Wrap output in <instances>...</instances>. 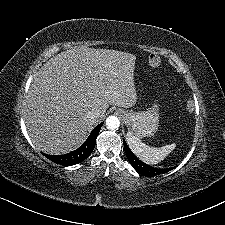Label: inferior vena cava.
Segmentation results:
<instances>
[{
  "label": "inferior vena cava",
  "mask_w": 225,
  "mask_h": 225,
  "mask_svg": "<svg viewBox=\"0 0 225 225\" xmlns=\"http://www.w3.org/2000/svg\"><path fill=\"white\" fill-rule=\"evenodd\" d=\"M99 111L98 110H91V111H88L87 115L88 117L90 118H96L99 116Z\"/></svg>",
  "instance_id": "obj_1"
}]
</instances>
